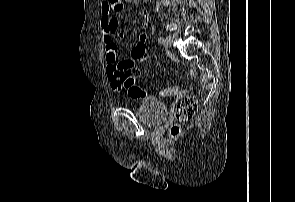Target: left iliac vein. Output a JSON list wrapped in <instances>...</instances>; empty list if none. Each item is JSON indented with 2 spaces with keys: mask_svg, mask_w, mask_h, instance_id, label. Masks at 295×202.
Here are the masks:
<instances>
[{
  "mask_svg": "<svg viewBox=\"0 0 295 202\" xmlns=\"http://www.w3.org/2000/svg\"><path fill=\"white\" fill-rule=\"evenodd\" d=\"M173 42V37L172 36H167L165 39H164V46L167 48L169 47Z\"/></svg>",
  "mask_w": 295,
  "mask_h": 202,
  "instance_id": "1",
  "label": "left iliac vein"
}]
</instances>
